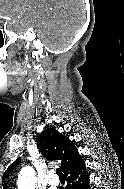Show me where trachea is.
<instances>
[{"label": "trachea", "instance_id": "obj_1", "mask_svg": "<svg viewBox=\"0 0 124 189\" xmlns=\"http://www.w3.org/2000/svg\"><path fill=\"white\" fill-rule=\"evenodd\" d=\"M56 174H57L59 177H64V175H63V173H62V171H61L60 168H57V169H56Z\"/></svg>", "mask_w": 124, "mask_h": 189}]
</instances>
